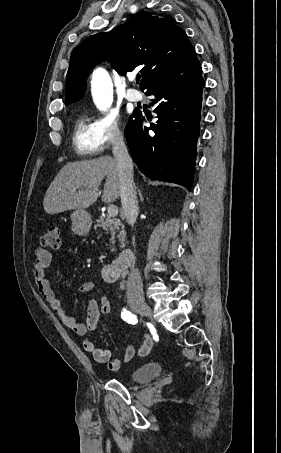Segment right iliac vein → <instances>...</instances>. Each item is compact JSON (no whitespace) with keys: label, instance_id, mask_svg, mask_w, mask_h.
Masks as SVG:
<instances>
[{"label":"right iliac vein","instance_id":"63e3f726","mask_svg":"<svg viewBox=\"0 0 281 453\" xmlns=\"http://www.w3.org/2000/svg\"><path fill=\"white\" fill-rule=\"evenodd\" d=\"M133 306L135 309L138 310V312H145L144 314L147 316L148 314L151 316L152 309L148 307L147 303L145 301H133Z\"/></svg>","mask_w":281,"mask_h":453}]
</instances>
